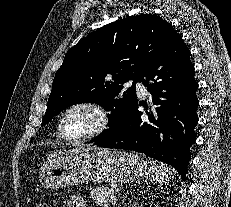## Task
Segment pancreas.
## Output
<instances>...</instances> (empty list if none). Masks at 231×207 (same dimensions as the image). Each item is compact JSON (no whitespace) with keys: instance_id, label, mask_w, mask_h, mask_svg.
Instances as JSON below:
<instances>
[{"instance_id":"1","label":"pancreas","mask_w":231,"mask_h":207,"mask_svg":"<svg viewBox=\"0 0 231 207\" xmlns=\"http://www.w3.org/2000/svg\"><path fill=\"white\" fill-rule=\"evenodd\" d=\"M117 190L109 187L91 188L90 198L100 207H108L109 203L115 202Z\"/></svg>"}]
</instances>
